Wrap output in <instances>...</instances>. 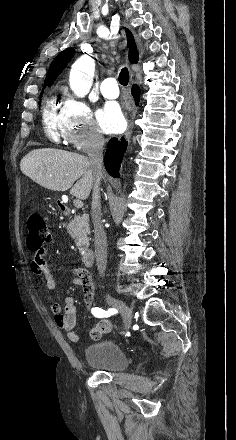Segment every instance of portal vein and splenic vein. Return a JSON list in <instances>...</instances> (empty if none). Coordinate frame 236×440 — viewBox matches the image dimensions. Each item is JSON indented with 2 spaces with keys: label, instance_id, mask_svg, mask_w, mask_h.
<instances>
[{
  "label": "portal vein and splenic vein",
  "instance_id": "portal-vein-and-splenic-vein-1",
  "mask_svg": "<svg viewBox=\"0 0 236 440\" xmlns=\"http://www.w3.org/2000/svg\"><path fill=\"white\" fill-rule=\"evenodd\" d=\"M73 203H74V206L78 209L83 207V202L80 199H74Z\"/></svg>",
  "mask_w": 236,
  "mask_h": 440
}]
</instances>
